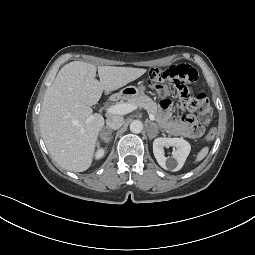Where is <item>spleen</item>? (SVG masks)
Returning <instances> with one entry per match:
<instances>
[{
	"label": "spleen",
	"instance_id": "3e777b00",
	"mask_svg": "<svg viewBox=\"0 0 255 255\" xmlns=\"http://www.w3.org/2000/svg\"><path fill=\"white\" fill-rule=\"evenodd\" d=\"M208 152H209V147H208V146L203 147V148L198 152V154H197V156H196V159H195V163H196V162L202 161V160L207 156Z\"/></svg>",
	"mask_w": 255,
	"mask_h": 255
}]
</instances>
